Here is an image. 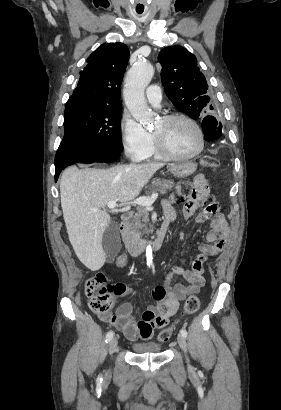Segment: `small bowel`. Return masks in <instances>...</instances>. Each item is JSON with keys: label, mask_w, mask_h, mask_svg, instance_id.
Wrapping results in <instances>:
<instances>
[{"label": "small bowel", "mask_w": 281, "mask_h": 410, "mask_svg": "<svg viewBox=\"0 0 281 410\" xmlns=\"http://www.w3.org/2000/svg\"><path fill=\"white\" fill-rule=\"evenodd\" d=\"M210 194V184L205 176L199 174L195 177L194 193L185 198L180 195H172L162 202L165 215L164 224L168 225L175 219L176 212L174 205L183 204V213L186 219H190L197 210L199 200L203 195ZM197 224H208L211 227L207 235V242L199 247V255L192 262L189 269L181 265L171 267L164 278L162 285L148 289L154 305H150L143 313L141 320L136 321L130 303H123L119 306L116 314L104 315L102 318L115 325L123 335L131 341L149 340L153 330L164 327L169 319L176 314L179 304L188 295L197 293L205 284L204 262L209 256H217L225 248V243L229 235V229L222 216L211 217L206 213H201L196 217ZM184 235L181 234L183 239ZM117 296H134L137 291L128 288L125 284H116Z\"/></svg>", "instance_id": "small-bowel-1"}]
</instances>
